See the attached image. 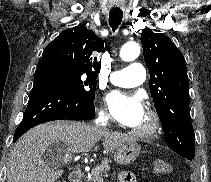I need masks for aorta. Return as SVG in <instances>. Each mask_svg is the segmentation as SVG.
<instances>
[{"label": "aorta", "mask_w": 211, "mask_h": 182, "mask_svg": "<svg viewBox=\"0 0 211 182\" xmlns=\"http://www.w3.org/2000/svg\"><path fill=\"white\" fill-rule=\"evenodd\" d=\"M140 54V46L136 42L125 43L120 50V57L123 61H132Z\"/></svg>", "instance_id": "aorta-1"}]
</instances>
